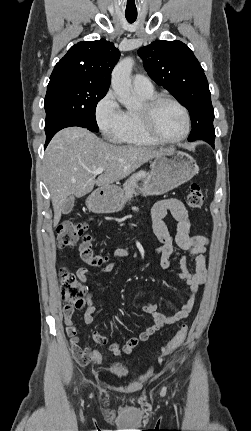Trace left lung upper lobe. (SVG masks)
Wrapping results in <instances>:
<instances>
[{"mask_svg": "<svg viewBox=\"0 0 251 431\" xmlns=\"http://www.w3.org/2000/svg\"><path fill=\"white\" fill-rule=\"evenodd\" d=\"M148 75L163 86L189 111L192 130L189 141L202 139L214 147V109L204 70L183 42L154 41L139 49Z\"/></svg>", "mask_w": 251, "mask_h": 431, "instance_id": "left-lung-upper-lobe-1", "label": "left lung upper lobe"}]
</instances>
